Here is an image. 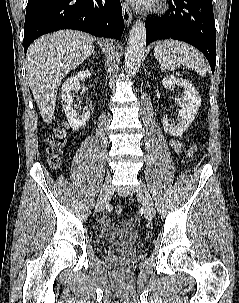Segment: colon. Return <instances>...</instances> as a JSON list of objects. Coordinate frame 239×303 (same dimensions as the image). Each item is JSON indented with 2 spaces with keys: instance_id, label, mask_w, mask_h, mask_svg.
I'll return each instance as SVG.
<instances>
[{
  "instance_id": "1",
  "label": "colon",
  "mask_w": 239,
  "mask_h": 303,
  "mask_svg": "<svg viewBox=\"0 0 239 303\" xmlns=\"http://www.w3.org/2000/svg\"><path fill=\"white\" fill-rule=\"evenodd\" d=\"M66 139V129L58 128L56 129L51 136L49 137V164L52 168H58L61 165V150L65 144ZM115 213L121 214L124 211V206L122 204H118L115 206ZM135 223H139V219H134Z\"/></svg>"
}]
</instances>
